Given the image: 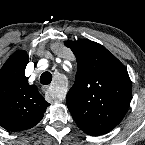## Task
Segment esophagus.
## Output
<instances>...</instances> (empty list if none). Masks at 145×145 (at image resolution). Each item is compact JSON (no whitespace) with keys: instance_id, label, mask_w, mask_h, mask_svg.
Listing matches in <instances>:
<instances>
[{"instance_id":"34e87169","label":"esophagus","mask_w":145,"mask_h":145,"mask_svg":"<svg viewBox=\"0 0 145 145\" xmlns=\"http://www.w3.org/2000/svg\"><path fill=\"white\" fill-rule=\"evenodd\" d=\"M44 90H46V92H49V95L56 101H62L64 96L58 92V91H52L51 87L49 86H45Z\"/></svg>"}]
</instances>
